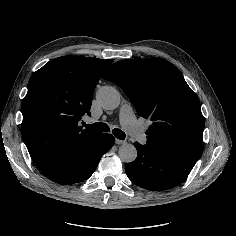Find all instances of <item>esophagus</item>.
Returning <instances> with one entry per match:
<instances>
[{
    "instance_id": "esophagus-1",
    "label": "esophagus",
    "mask_w": 236,
    "mask_h": 236,
    "mask_svg": "<svg viewBox=\"0 0 236 236\" xmlns=\"http://www.w3.org/2000/svg\"><path fill=\"white\" fill-rule=\"evenodd\" d=\"M115 142H116V144H118V145H121V144L125 143V141L120 140V139H116Z\"/></svg>"
}]
</instances>
